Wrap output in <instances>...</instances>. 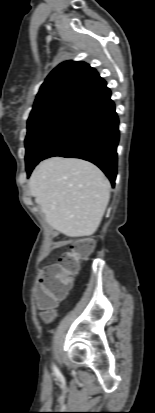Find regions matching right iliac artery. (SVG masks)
Here are the masks:
<instances>
[{"label": "right iliac artery", "mask_w": 155, "mask_h": 413, "mask_svg": "<svg viewBox=\"0 0 155 413\" xmlns=\"http://www.w3.org/2000/svg\"><path fill=\"white\" fill-rule=\"evenodd\" d=\"M53 370H54L56 375L60 374L59 370L57 369V367L55 365H53Z\"/></svg>", "instance_id": "right-iliac-artery-1"}]
</instances>
